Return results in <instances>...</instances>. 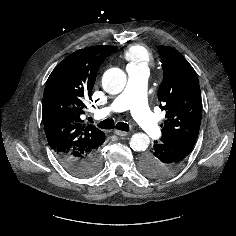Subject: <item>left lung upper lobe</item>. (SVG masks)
Here are the masks:
<instances>
[{
	"label": "left lung upper lobe",
	"mask_w": 236,
	"mask_h": 236,
	"mask_svg": "<svg viewBox=\"0 0 236 236\" xmlns=\"http://www.w3.org/2000/svg\"><path fill=\"white\" fill-rule=\"evenodd\" d=\"M163 81L158 90L160 108L166 111L161 143L197 139L202 103L196 72L186 59L171 47L160 46Z\"/></svg>",
	"instance_id": "left-lung-upper-lobe-1"
}]
</instances>
